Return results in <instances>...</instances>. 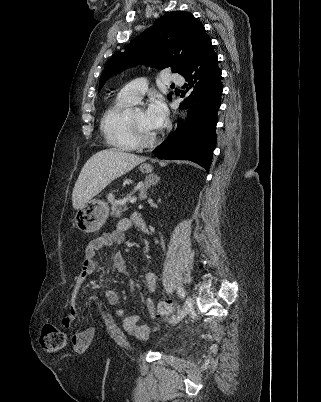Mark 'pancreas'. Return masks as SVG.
I'll use <instances>...</instances> for the list:
<instances>
[{
    "mask_svg": "<svg viewBox=\"0 0 321 402\" xmlns=\"http://www.w3.org/2000/svg\"><path fill=\"white\" fill-rule=\"evenodd\" d=\"M127 201L128 199L125 200H116L114 198L109 199V202L111 204V216L114 218H119L123 212H125L127 208Z\"/></svg>",
    "mask_w": 321,
    "mask_h": 402,
    "instance_id": "obj_1",
    "label": "pancreas"
}]
</instances>
